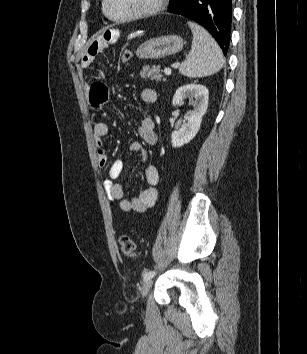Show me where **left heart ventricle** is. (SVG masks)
I'll return each instance as SVG.
<instances>
[{"instance_id":"obj_1","label":"left heart ventricle","mask_w":307,"mask_h":354,"mask_svg":"<svg viewBox=\"0 0 307 354\" xmlns=\"http://www.w3.org/2000/svg\"><path fill=\"white\" fill-rule=\"evenodd\" d=\"M154 0H109L111 12L116 16H126L148 8Z\"/></svg>"}]
</instances>
